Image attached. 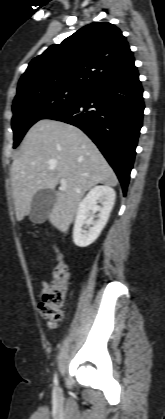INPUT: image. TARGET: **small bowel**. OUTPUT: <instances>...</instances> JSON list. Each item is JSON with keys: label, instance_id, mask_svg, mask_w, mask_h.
Wrapping results in <instances>:
<instances>
[{"label": "small bowel", "instance_id": "obj_1", "mask_svg": "<svg viewBox=\"0 0 165 419\" xmlns=\"http://www.w3.org/2000/svg\"><path fill=\"white\" fill-rule=\"evenodd\" d=\"M48 288H49V284H48L47 280H43L42 281V284H41V292H40V294L43 295L44 293H46L47 290H48Z\"/></svg>", "mask_w": 165, "mask_h": 419}]
</instances>
